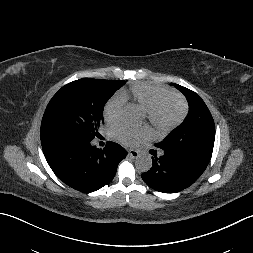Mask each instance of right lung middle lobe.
<instances>
[{
  "instance_id": "right-lung-middle-lobe-1",
  "label": "right lung middle lobe",
  "mask_w": 253,
  "mask_h": 253,
  "mask_svg": "<svg viewBox=\"0 0 253 253\" xmlns=\"http://www.w3.org/2000/svg\"><path fill=\"white\" fill-rule=\"evenodd\" d=\"M124 84L121 80L83 78L63 86L46 107L41 141L54 138L91 141L104 123V105Z\"/></svg>"
}]
</instances>
